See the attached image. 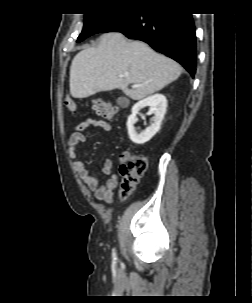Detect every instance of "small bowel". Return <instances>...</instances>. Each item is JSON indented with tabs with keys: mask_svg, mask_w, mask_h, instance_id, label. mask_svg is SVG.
I'll use <instances>...</instances> for the list:
<instances>
[{
	"mask_svg": "<svg viewBox=\"0 0 252 303\" xmlns=\"http://www.w3.org/2000/svg\"><path fill=\"white\" fill-rule=\"evenodd\" d=\"M90 127H98L101 131H111V125L103 119L86 118L79 122L74 132L71 134L68 143V155L72 160L74 171L78 174L81 181L94 194L95 198L101 201L110 202L113 193L118 186L119 178L113 172V164L110 159H105L102 164V174L108 177L104 184H101L99 179L92 174L78 159V147L85 142L84 131Z\"/></svg>",
	"mask_w": 252,
	"mask_h": 303,
	"instance_id": "small-bowel-1",
	"label": "small bowel"
}]
</instances>
